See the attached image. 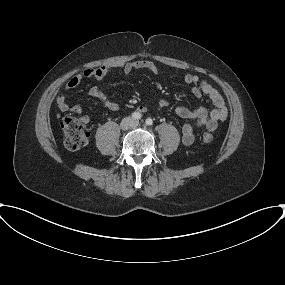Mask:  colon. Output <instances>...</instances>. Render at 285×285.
I'll return each instance as SVG.
<instances>
[{
  "instance_id": "colon-1",
  "label": "colon",
  "mask_w": 285,
  "mask_h": 285,
  "mask_svg": "<svg viewBox=\"0 0 285 285\" xmlns=\"http://www.w3.org/2000/svg\"><path fill=\"white\" fill-rule=\"evenodd\" d=\"M84 118L66 116L61 121V128L64 134L65 146L70 150H79L88 143L89 132ZM214 136L211 132L205 131L202 140L211 143Z\"/></svg>"
}]
</instances>
